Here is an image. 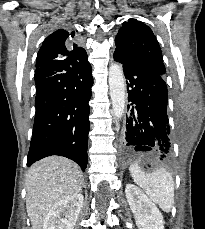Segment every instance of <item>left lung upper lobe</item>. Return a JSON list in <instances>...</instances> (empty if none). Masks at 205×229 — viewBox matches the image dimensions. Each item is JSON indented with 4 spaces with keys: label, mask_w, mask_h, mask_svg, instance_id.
I'll return each mask as SVG.
<instances>
[{
    "label": "left lung upper lobe",
    "mask_w": 205,
    "mask_h": 229,
    "mask_svg": "<svg viewBox=\"0 0 205 229\" xmlns=\"http://www.w3.org/2000/svg\"><path fill=\"white\" fill-rule=\"evenodd\" d=\"M115 43V51L125 54L129 59L164 76L162 52L157 39L147 25L136 19L123 22Z\"/></svg>",
    "instance_id": "left-lung-upper-lobe-1"
}]
</instances>
